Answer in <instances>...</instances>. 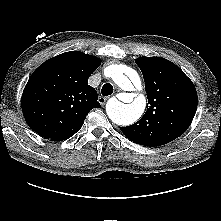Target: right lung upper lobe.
Here are the masks:
<instances>
[{"instance_id":"cb5924a9","label":"right lung upper lobe","mask_w":221,"mask_h":221,"mask_svg":"<svg viewBox=\"0 0 221 221\" xmlns=\"http://www.w3.org/2000/svg\"><path fill=\"white\" fill-rule=\"evenodd\" d=\"M100 64L97 57L70 51L39 66L22 94V112L29 127L53 141L73 136L90 110L100 107L96 90L88 85Z\"/></svg>"}]
</instances>
